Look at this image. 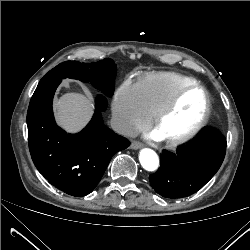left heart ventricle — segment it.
Here are the masks:
<instances>
[{"label":"left heart ventricle","mask_w":250,"mask_h":250,"mask_svg":"<svg viewBox=\"0 0 250 250\" xmlns=\"http://www.w3.org/2000/svg\"><path fill=\"white\" fill-rule=\"evenodd\" d=\"M204 108L203 94L199 90L186 92L174 110L155 130L159 138H171L188 131L200 118Z\"/></svg>","instance_id":"left-heart-ventricle-1"}]
</instances>
